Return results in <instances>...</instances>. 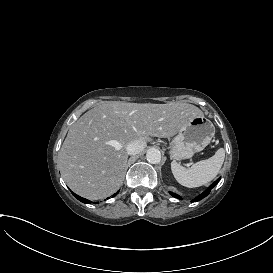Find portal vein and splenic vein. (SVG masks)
I'll return each instance as SVG.
<instances>
[{"label": "portal vein and splenic vein", "instance_id": "portal-vein-and-splenic-vein-1", "mask_svg": "<svg viewBox=\"0 0 273 273\" xmlns=\"http://www.w3.org/2000/svg\"><path fill=\"white\" fill-rule=\"evenodd\" d=\"M193 164V162L191 161L189 164H188V166H191Z\"/></svg>", "mask_w": 273, "mask_h": 273}]
</instances>
